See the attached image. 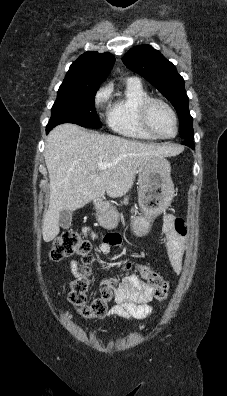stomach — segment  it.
<instances>
[{
  "label": "stomach",
  "instance_id": "obj_1",
  "mask_svg": "<svg viewBox=\"0 0 227 396\" xmlns=\"http://www.w3.org/2000/svg\"><path fill=\"white\" fill-rule=\"evenodd\" d=\"M138 203L143 216L132 220L131 227L135 235L148 234L151 222L171 203L174 196V184L171 179V166L164 157H153L144 161L137 170ZM97 221L106 229L118 225V211L109 204L95 201Z\"/></svg>",
  "mask_w": 227,
  "mask_h": 396
}]
</instances>
